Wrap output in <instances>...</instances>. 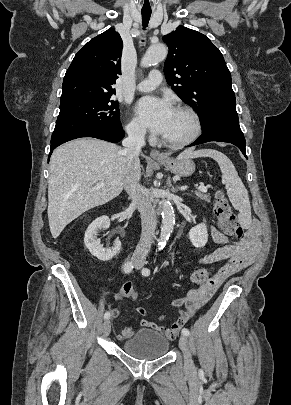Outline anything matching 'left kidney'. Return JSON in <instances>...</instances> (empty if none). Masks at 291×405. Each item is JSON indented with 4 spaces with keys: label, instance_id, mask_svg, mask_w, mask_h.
<instances>
[{
    "label": "left kidney",
    "instance_id": "left-kidney-1",
    "mask_svg": "<svg viewBox=\"0 0 291 405\" xmlns=\"http://www.w3.org/2000/svg\"><path fill=\"white\" fill-rule=\"evenodd\" d=\"M189 239L192 245L196 248H203L208 241V230L206 224L203 222L189 231Z\"/></svg>",
    "mask_w": 291,
    "mask_h": 405
}]
</instances>
